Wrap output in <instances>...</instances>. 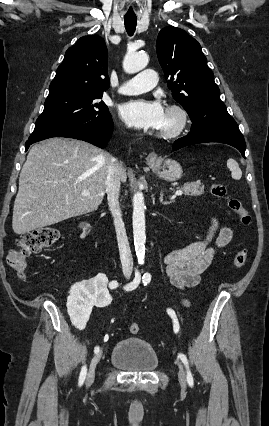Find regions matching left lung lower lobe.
Listing matches in <instances>:
<instances>
[{"instance_id": "left-lung-lower-lobe-1", "label": "left lung lower lobe", "mask_w": 269, "mask_h": 426, "mask_svg": "<svg viewBox=\"0 0 269 426\" xmlns=\"http://www.w3.org/2000/svg\"><path fill=\"white\" fill-rule=\"evenodd\" d=\"M190 119L192 121L191 131L174 142L173 150L198 143L220 142L237 148L246 158L244 137L226 107L207 109L198 112L195 118Z\"/></svg>"}]
</instances>
